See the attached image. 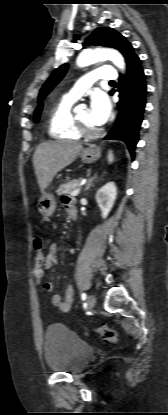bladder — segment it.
Instances as JSON below:
<instances>
[{
  "label": "bladder",
  "instance_id": "31cf9c89",
  "mask_svg": "<svg viewBox=\"0 0 168 415\" xmlns=\"http://www.w3.org/2000/svg\"><path fill=\"white\" fill-rule=\"evenodd\" d=\"M44 359L54 372L76 374L91 361L93 348L62 324L50 325L44 334Z\"/></svg>",
  "mask_w": 168,
  "mask_h": 415
}]
</instances>
